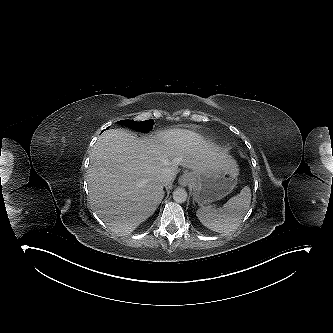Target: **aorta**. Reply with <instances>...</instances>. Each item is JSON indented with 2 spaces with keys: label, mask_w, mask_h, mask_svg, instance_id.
<instances>
[{
  "label": "aorta",
  "mask_w": 333,
  "mask_h": 333,
  "mask_svg": "<svg viewBox=\"0 0 333 333\" xmlns=\"http://www.w3.org/2000/svg\"><path fill=\"white\" fill-rule=\"evenodd\" d=\"M173 199L177 203H184L187 200V192L184 188H177L173 192Z\"/></svg>",
  "instance_id": "aorta-1"
}]
</instances>
